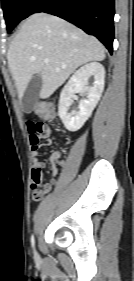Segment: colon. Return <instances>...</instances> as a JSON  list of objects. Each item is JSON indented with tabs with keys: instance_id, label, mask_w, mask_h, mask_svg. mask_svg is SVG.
<instances>
[{
	"instance_id": "obj_1",
	"label": "colon",
	"mask_w": 134,
	"mask_h": 281,
	"mask_svg": "<svg viewBox=\"0 0 134 281\" xmlns=\"http://www.w3.org/2000/svg\"><path fill=\"white\" fill-rule=\"evenodd\" d=\"M37 112L39 113V115H41L42 117H44L46 119H50L54 116V108L52 105H50L48 103L38 104ZM31 189H32V194L39 192L37 184L33 183L31 185Z\"/></svg>"
}]
</instances>
